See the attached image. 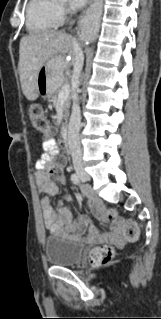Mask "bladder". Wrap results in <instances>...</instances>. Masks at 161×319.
I'll list each match as a JSON object with an SVG mask.
<instances>
[{
    "label": "bladder",
    "mask_w": 161,
    "mask_h": 319,
    "mask_svg": "<svg viewBox=\"0 0 161 319\" xmlns=\"http://www.w3.org/2000/svg\"><path fill=\"white\" fill-rule=\"evenodd\" d=\"M43 252L48 264L58 267L71 266L83 257L85 245L71 237L52 234L45 238Z\"/></svg>",
    "instance_id": "bladder-1"
}]
</instances>
